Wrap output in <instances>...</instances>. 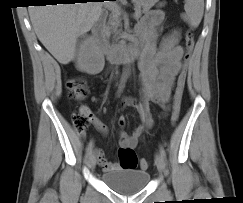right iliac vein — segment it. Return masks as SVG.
I'll use <instances>...</instances> for the list:
<instances>
[{
	"instance_id": "right-iliac-vein-1",
	"label": "right iliac vein",
	"mask_w": 243,
	"mask_h": 203,
	"mask_svg": "<svg viewBox=\"0 0 243 203\" xmlns=\"http://www.w3.org/2000/svg\"><path fill=\"white\" fill-rule=\"evenodd\" d=\"M96 161H97L96 153L95 152H91L90 155H89V162H88V165H89L90 169L93 170L95 168Z\"/></svg>"
}]
</instances>
